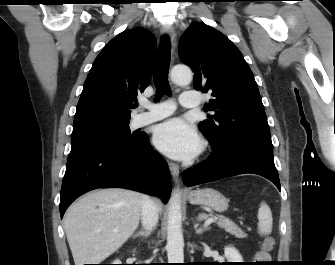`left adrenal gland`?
<instances>
[{
  "label": "left adrenal gland",
  "instance_id": "1",
  "mask_svg": "<svg viewBox=\"0 0 335 265\" xmlns=\"http://www.w3.org/2000/svg\"><path fill=\"white\" fill-rule=\"evenodd\" d=\"M198 226H199L198 223H196V224L194 225L196 234H202V233L205 232L206 230H209V229H210V227H208V226L199 227V228H198Z\"/></svg>",
  "mask_w": 335,
  "mask_h": 265
}]
</instances>
